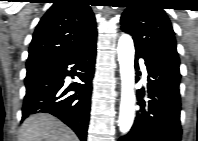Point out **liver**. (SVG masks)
<instances>
[{
  "label": "liver",
  "instance_id": "1",
  "mask_svg": "<svg viewBox=\"0 0 198 141\" xmlns=\"http://www.w3.org/2000/svg\"><path fill=\"white\" fill-rule=\"evenodd\" d=\"M19 141H78L75 133L56 117L39 113L23 122Z\"/></svg>",
  "mask_w": 198,
  "mask_h": 141
}]
</instances>
